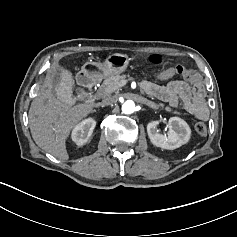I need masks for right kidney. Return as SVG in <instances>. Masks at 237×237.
<instances>
[{"instance_id": "right-kidney-1", "label": "right kidney", "mask_w": 237, "mask_h": 237, "mask_svg": "<svg viewBox=\"0 0 237 237\" xmlns=\"http://www.w3.org/2000/svg\"><path fill=\"white\" fill-rule=\"evenodd\" d=\"M95 125L96 122L92 119H87L83 121L73 130L72 132L73 141L78 145L86 143L89 137L91 136Z\"/></svg>"}]
</instances>
